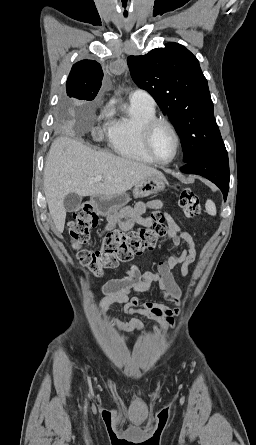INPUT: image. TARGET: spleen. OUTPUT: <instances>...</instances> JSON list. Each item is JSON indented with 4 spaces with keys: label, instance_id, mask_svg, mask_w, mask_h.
Wrapping results in <instances>:
<instances>
[{
    "label": "spleen",
    "instance_id": "1",
    "mask_svg": "<svg viewBox=\"0 0 256 445\" xmlns=\"http://www.w3.org/2000/svg\"><path fill=\"white\" fill-rule=\"evenodd\" d=\"M206 212L209 215L215 216L216 215V206L215 203L212 200H207L205 204Z\"/></svg>",
    "mask_w": 256,
    "mask_h": 445
}]
</instances>
